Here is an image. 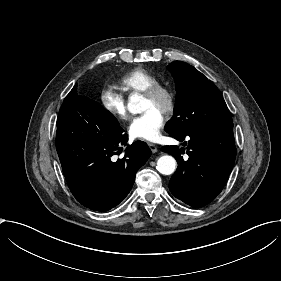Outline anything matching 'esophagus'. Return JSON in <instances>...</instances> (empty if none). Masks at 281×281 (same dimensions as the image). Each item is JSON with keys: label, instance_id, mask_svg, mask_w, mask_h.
Listing matches in <instances>:
<instances>
[{"label": "esophagus", "instance_id": "34e87169", "mask_svg": "<svg viewBox=\"0 0 281 281\" xmlns=\"http://www.w3.org/2000/svg\"><path fill=\"white\" fill-rule=\"evenodd\" d=\"M147 144H148L150 150L152 151V153H156L158 151V148L155 144L150 143V142H148Z\"/></svg>", "mask_w": 281, "mask_h": 281}]
</instances>
